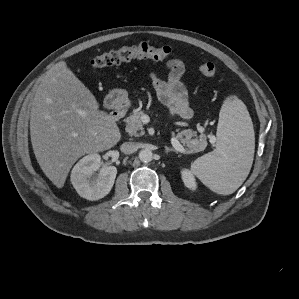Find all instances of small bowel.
<instances>
[{"instance_id": "c3829d8e", "label": "small bowel", "mask_w": 299, "mask_h": 299, "mask_svg": "<svg viewBox=\"0 0 299 299\" xmlns=\"http://www.w3.org/2000/svg\"><path fill=\"white\" fill-rule=\"evenodd\" d=\"M169 70L167 80L160 79L156 74H150L157 98L168 107L172 114L179 115L183 119H191L192 109L187 102V90L183 83L185 73L184 63L179 59H172L166 64Z\"/></svg>"}]
</instances>
